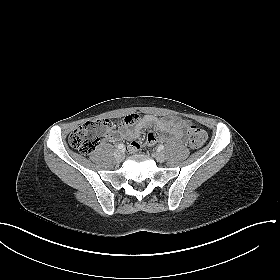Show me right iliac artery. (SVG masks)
Listing matches in <instances>:
<instances>
[{
    "mask_svg": "<svg viewBox=\"0 0 280 280\" xmlns=\"http://www.w3.org/2000/svg\"><path fill=\"white\" fill-rule=\"evenodd\" d=\"M117 147H118L119 149H123V148H124V144H118Z\"/></svg>",
    "mask_w": 280,
    "mask_h": 280,
    "instance_id": "obj_1",
    "label": "right iliac artery"
}]
</instances>
